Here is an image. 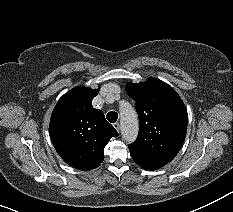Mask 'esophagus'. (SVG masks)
Returning <instances> with one entry per match:
<instances>
[{
	"mask_svg": "<svg viewBox=\"0 0 233 212\" xmlns=\"http://www.w3.org/2000/svg\"><path fill=\"white\" fill-rule=\"evenodd\" d=\"M113 126L118 132L120 131V125L118 122L114 123Z\"/></svg>",
	"mask_w": 233,
	"mask_h": 212,
	"instance_id": "34e87169",
	"label": "esophagus"
}]
</instances>
